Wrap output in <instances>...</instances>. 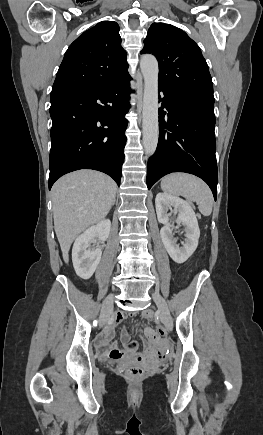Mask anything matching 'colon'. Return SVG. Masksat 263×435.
<instances>
[{
  "label": "colon",
  "instance_id": "1",
  "mask_svg": "<svg viewBox=\"0 0 263 435\" xmlns=\"http://www.w3.org/2000/svg\"><path fill=\"white\" fill-rule=\"evenodd\" d=\"M156 329L158 330V333L161 334L162 336L165 335V330L163 327H161V324H156ZM163 343V341H162ZM163 349V348H162ZM144 368L140 365H132L130 367H128L125 371V376L129 379V380H139L143 377L144 375Z\"/></svg>",
  "mask_w": 263,
  "mask_h": 435
}]
</instances>
